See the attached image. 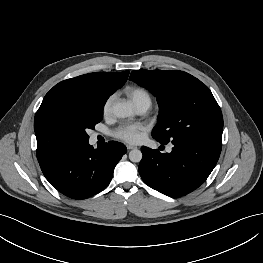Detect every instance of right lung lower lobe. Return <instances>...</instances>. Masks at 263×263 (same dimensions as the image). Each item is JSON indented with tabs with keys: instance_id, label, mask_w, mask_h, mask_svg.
Listing matches in <instances>:
<instances>
[{
	"instance_id": "right-lung-lower-lobe-1",
	"label": "right lung lower lobe",
	"mask_w": 263,
	"mask_h": 263,
	"mask_svg": "<svg viewBox=\"0 0 263 263\" xmlns=\"http://www.w3.org/2000/svg\"><path fill=\"white\" fill-rule=\"evenodd\" d=\"M126 151L125 145L116 141L98 149L87 141L61 149L39 164L46 179L59 192L73 199H85L108 186Z\"/></svg>"
}]
</instances>
